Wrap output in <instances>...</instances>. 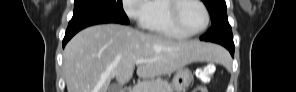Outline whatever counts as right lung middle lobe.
Segmentation results:
<instances>
[{"label": "right lung middle lobe", "mask_w": 296, "mask_h": 92, "mask_svg": "<svg viewBox=\"0 0 296 92\" xmlns=\"http://www.w3.org/2000/svg\"><path fill=\"white\" fill-rule=\"evenodd\" d=\"M84 17H101L121 24H129L122 0H75L72 19Z\"/></svg>", "instance_id": "1"}]
</instances>
